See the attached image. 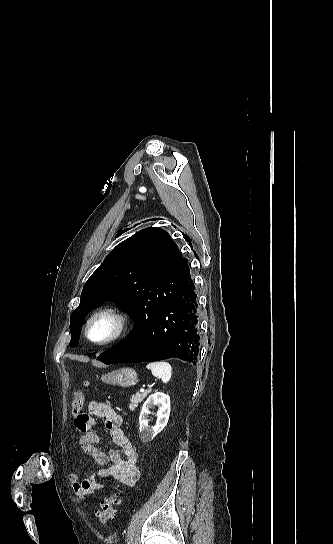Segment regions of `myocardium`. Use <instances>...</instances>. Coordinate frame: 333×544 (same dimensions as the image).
Returning a JSON list of instances; mask_svg holds the SVG:
<instances>
[{
	"mask_svg": "<svg viewBox=\"0 0 333 544\" xmlns=\"http://www.w3.org/2000/svg\"><path fill=\"white\" fill-rule=\"evenodd\" d=\"M101 317H109L114 323V329L107 338L102 340H94L90 337V328L92 324ZM127 326L128 317L124 311L115 305H104L96 309L88 318L85 325L84 334L90 343L98 346H104L120 339L126 332Z\"/></svg>",
	"mask_w": 333,
	"mask_h": 544,
	"instance_id": "f54148a6",
	"label": "myocardium"
}]
</instances>
